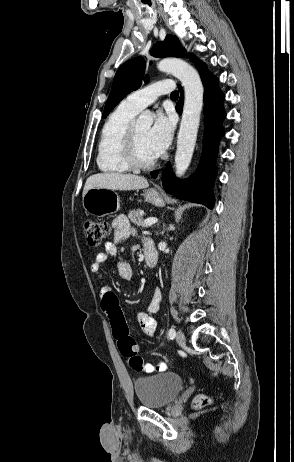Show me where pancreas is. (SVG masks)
<instances>
[{
  "label": "pancreas",
  "mask_w": 294,
  "mask_h": 462,
  "mask_svg": "<svg viewBox=\"0 0 294 462\" xmlns=\"http://www.w3.org/2000/svg\"><path fill=\"white\" fill-rule=\"evenodd\" d=\"M130 221L136 225L144 226L143 224V212L140 209L130 210L128 213Z\"/></svg>",
  "instance_id": "pancreas-1"
}]
</instances>
